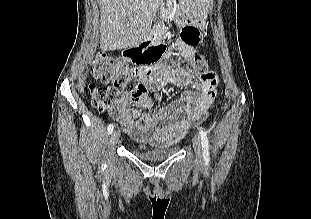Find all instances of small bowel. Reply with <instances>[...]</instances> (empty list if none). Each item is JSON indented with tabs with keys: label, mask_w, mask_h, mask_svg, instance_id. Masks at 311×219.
I'll list each match as a JSON object with an SVG mask.
<instances>
[{
	"label": "small bowel",
	"mask_w": 311,
	"mask_h": 219,
	"mask_svg": "<svg viewBox=\"0 0 311 219\" xmlns=\"http://www.w3.org/2000/svg\"><path fill=\"white\" fill-rule=\"evenodd\" d=\"M191 28L195 38L198 39V31L194 27ZM194 47L195 43L179 39L158 62L147 67L139 66L133 70L135 76L153 92L168 83L183 87L188 80L198 83V91H182L176 100L156 108L152 113L140 112L128 100H123L116 108H106L109 115L132 139L141 143L169 145L179 140L190 125L207 114L217 95V74L211 71L200 79H194L180 70L171 71L164 66L165 61L176 52L191 57L195 52Z\"/></svg>",
	"instance_id": "small-bowel-1"
}]
</instances>
